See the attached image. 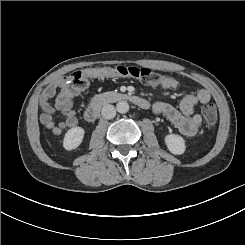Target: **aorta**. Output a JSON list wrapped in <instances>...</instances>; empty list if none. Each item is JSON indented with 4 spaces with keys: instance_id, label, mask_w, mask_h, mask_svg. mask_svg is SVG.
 Masks as SVG:
<instances>
[{
    "instance_id": "1",
    "label": "aorta",
    "mask_w": 245,
    "mask_h": 245,
    "mask_svg": "<svg viewBox=\"0 0 245 245\" xmlns=\"http://www.w3.org/2000/svg\"><path fill=\"white\" fill-rule=\"evenodd\" d=\"M116 109L119 113L125 114L129 111V104L127 101H119L116 104Z\"/></svg>"
}]
</instances>
